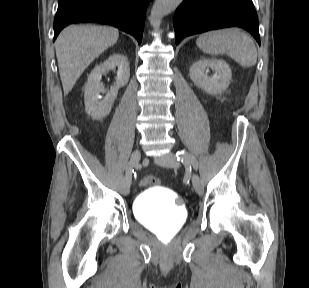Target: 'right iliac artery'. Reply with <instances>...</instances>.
I'll return each instance as SVG.
<instances>
[{
	"mask_svg": "<svg viewBox=\"0 0 309 288\" xmlns=\"http://www.w3.org/2000/svg\"><path fill=\"white\" fill-rule=\"evenodd\" d=\"M133 166V167H132ZM133 168L135 169H138V170H141L142 169V166L139 165V160H134V161H131L130 164H127V170H126V173H127V176L128 177H131L132 174L131 171L133 170ZM130 179V178H129ZM129 182V181H128Z\"/></svg>",
	"mask_w": 309,
	"mask_h": 288,
	"instance_id": "right-iliac-artery-1",
	"label": "right iliac artery"
}]
</instances>
